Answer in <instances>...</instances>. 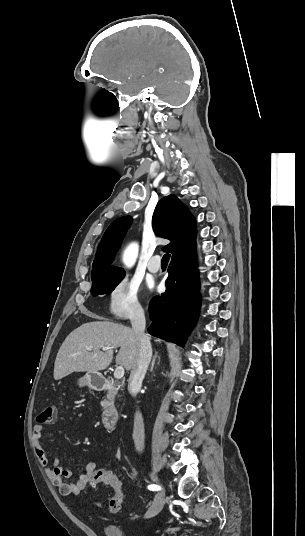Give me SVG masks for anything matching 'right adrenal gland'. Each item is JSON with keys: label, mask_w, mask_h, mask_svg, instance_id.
I'll list each match as a JSON object with an SVG mask.
<instances>
[{"label": "right adrenal gland", "mask_w": 305, "mask_h": 536, "mask_svg": "<svg viewBox=\"0 0 305 536\" xmlns=\"http://www.w3.org/2000/svg\"><path fill=\"white\" fill-rule=\"evenodd\" d=\"M157 354L158 352H155L154 356H153V360H152V364H151V368H150V372H153L154 370V364H155V360L157 358Z\"/></svg>", "instance_id": "1"}]
</instances>
